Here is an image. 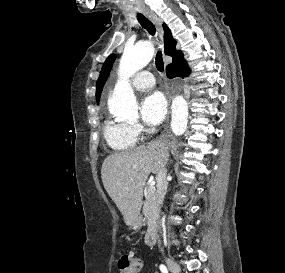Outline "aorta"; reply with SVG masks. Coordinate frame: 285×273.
<instances>
[{
	"instance_id": "obj_1",
	"label": "aorta",
	"mask_w": 285,
	"mask_h": 273,
	"mask_svg": "<svg viewBox=\"0 0 285 273\" xmlns=\"http://www.w3.org/2000/svg\"><path fill=\"white\" fill-rule=\"evenodd\" d=\"M154 47L150 42H139L127 46L119 64V78L112 95L108 99L109 112L120 119L138 117V105L128 79L145 67L153 58ZM188 106L182 96H176L172 102L171 128L175 135H182L187 127Z\"/></svg>"
}]
</instances>
